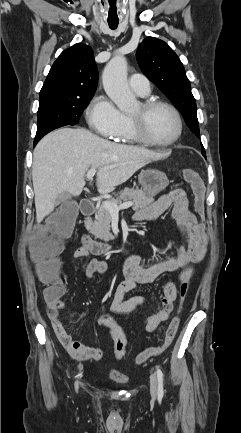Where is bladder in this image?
Segmentation results:
<instances>
[{"mask_svg": "<svg viewBox=\"0 0 241 433\" xmlns=\"http://www.w3.org/2000/svg\"><path fill=\"white\" fill-rule=\"evenodd\" d=\"M110 379L118 385H126L128 383V379L126 376L119 374L116 371H111L109 373Z\"/></svg>", "mask_w": 241, "mask_h": 433, "instance_id": "1", "label": "bladder"}]
</instances>
